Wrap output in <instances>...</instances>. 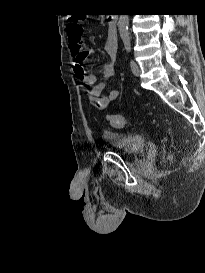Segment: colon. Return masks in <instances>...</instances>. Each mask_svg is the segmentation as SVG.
Segmentation results:
<instances>
[{
    "instance_id": "1",
    "label": "colon",
    "mask_w": 205,
    "mask_h": 273,
    "mask_svg": "<svg viewBox=\"0 0 205 273\" xmlns=\"http://www.w3.org/2000/svg\"><path fill=\"white\" fill-rule=\"evenodd\" d=\"M68 34L71 41H75L78 44L81 43V37L83 34V27L78 21H71L68 24ZM108 121L111 125L119 128H123L128 124L126 117L122 115L111 114L108 116Z\"/></svg>"
}]
</instances>
